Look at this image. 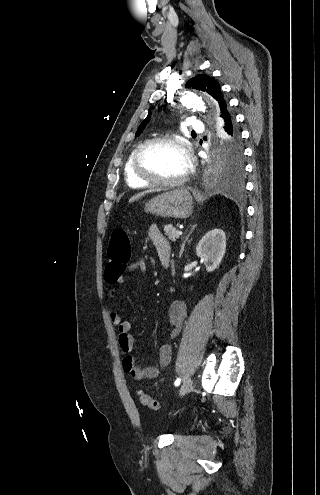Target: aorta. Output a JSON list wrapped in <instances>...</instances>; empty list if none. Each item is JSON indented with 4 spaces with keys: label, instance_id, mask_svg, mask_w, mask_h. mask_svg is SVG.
Here are the masks:
<instances>
[{
    "label": "aorta",
    "instance_id": "obj_1",
    "mask_svg": "<svg viewBox=\"0 0 320 495\" xmlns=\"http://www.w3.org/2000/svg\"><path fill=\"white\" fill-rule=\"evenodd\" d=\"M180 101L186 107L203 112H205L206 104L211 106L215 111H217L218 109L216 101L213 98H211L207 93L202 91H198L195 94L188 92L182 96V99ZM217 184L222 187H229L230 185L224 179L218 180Z\"/></svg>",
    "mask_w": 320,
    "mask_h": 495
}]
</instances>
